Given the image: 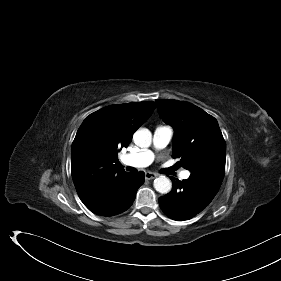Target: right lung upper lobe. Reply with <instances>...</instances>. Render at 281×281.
<instances>
[{
    "mask_svg": "<svg viewBox=\"0 0 281 281\" xmlns=\"http://www.w3.org/2000/svg\"><path fill=\"white\" fill-rule=\"evenodd\" d=\"M154 109V102H132L110 105L86 117L71 150L72 178L82 201L126 173L117 162L118 151L131 143Z\"/></svg>",
    "mask_w": 281,
    "mask_h": 281,
    "instance_id": "obj_1",
    "label": "right lung upper lobe"
}]
</instances>
